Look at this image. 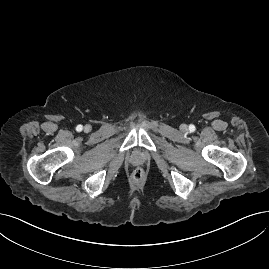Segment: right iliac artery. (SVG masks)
<instances>
[{
	"label": "right iliac artery",
	"instance_id": "82829eb1",
	"mask_svg": "<svg viewBox=\"0 0 269 269\" xmlns=\"http://www.w3.org/2000/svg\"><path fill=\"white\" fill-rule=\"evenodd\" d=\"M82 129H83V126L82 125H78L76 127V131H78V132L82 131Z\"/></svg>",
	"mask_w": 269,
	"mask_h": 269
}]
</instances>
